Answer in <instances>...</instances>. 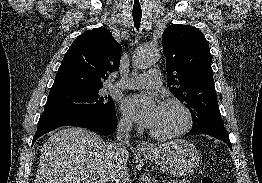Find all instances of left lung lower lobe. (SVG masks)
Returning <instances> with one entry per match:
<instances>
[{
  "label": "left lung lower lobe",
  "mask_w": 262,
  "mask_h": 183,
  "mask_svg": "<svg viewBox=\"0 0 262 183\" xmlns=\"http://www.w3.org/2000/svg\"><path fill=\"white\" fill-rule=\"evenodd\" d=\"M198 134H206V135L213 136L225 142L232 150V145L229 140V135L224 127L214 126V127H207L199 130H191L186 135H198Z\"/></svg>",
  "instance_id": "1"
}]
</instances>
